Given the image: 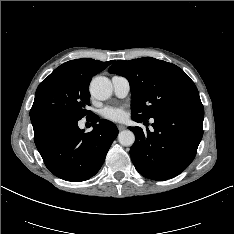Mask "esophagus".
<instances>
[{"mask_svg": "<svg viewBox=\"0 0 234 234\" xmlns=\"http://www.w3.org/2000/svg\"><path fill=\"white\" fill-rule=\"evenodd\" d=\"M117 127H118L119 131L126 129V127L124 125H121V124H119Z\"/></svg>", "mask_w": 234, "mask_h": 234, "instance_id": "34e87169", "label": "esophagus"}]
</instances>
